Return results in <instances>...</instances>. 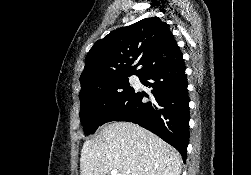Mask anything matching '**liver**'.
Listing matches in <instances>:
<instances>
[{
  "mask_svg": "<svg viewBox=\"0 0 251 175\" xmlns=\"http://www.w3.org/2000/svg\"><path fill=\"white\" fill-rule=\"evenodd\" d=\"M177 149L148 129L129 121L107 123L94 139H86L80 175H106L111 169L129 175H180Z\"/></svg>",
  "mask_w": 251,
  "mask_h": 175,
  "instance_id": "liver-1",
  "label": "liver"
}]
</instances>
